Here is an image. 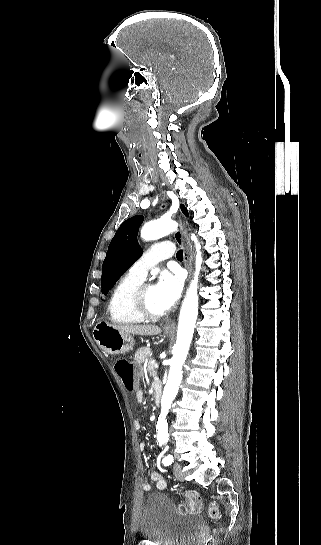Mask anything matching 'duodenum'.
<instances>
[{
	"label": "duodenum",
	"instance_id": "410a0bca",
	"mask_svg": "<svg viewBox=\"0 0 321 545\" xmlns=\"http://www.w3.org/2000/svg\"><path fill=\"white\" fill-rule=\"evenodd\" d=\"M153 393H154L156 402L159 404L162 397V386L160 383H155L153 385Z\"/></svg>",
	"mask_w": 321,
	"mask_h": 545
}]
</instances>
